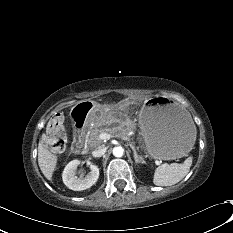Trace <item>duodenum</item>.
<instances>
[{"instance_id":"duodenum-1","label":"duodenum","mask_w":233,"mask_h":233,"mask_svg":"<svg viewBox=\"0 0 233 233\" xmlns=\"http://www.w3.org/2000/svg\"><path fill=\"white\" fill-rule=\"evenodd\" d=\"M93 111V106L88 101L78 103L71 111V124L74 127L72 148L75 153H80L85 147L86 116Z\"/></svg>"}]
</instances>
